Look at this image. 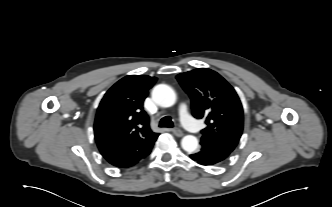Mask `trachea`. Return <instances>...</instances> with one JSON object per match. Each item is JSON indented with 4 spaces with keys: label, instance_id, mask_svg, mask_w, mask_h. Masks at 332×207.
Returning <instances> with one entry per match:
<instances>
[{
    "label": "trachea",
    "instance_id": "1",
    "mask_svg": "<svg viewBox=\"0 0 332 207\" xmlns=\"http://www.w3.org/2000/svg\"><path fill=\"white\" fill-rule=\"evenodd\" d=\"M159 126L160 127L172 128L173 127V122H172V120L169 116H165L160 120Z\"/></svg>",
    "mask_w": 332,
    "mask_h": 207
}]
</instances>
